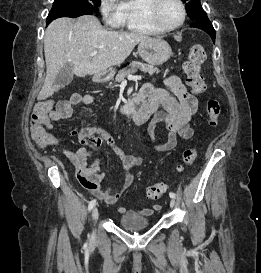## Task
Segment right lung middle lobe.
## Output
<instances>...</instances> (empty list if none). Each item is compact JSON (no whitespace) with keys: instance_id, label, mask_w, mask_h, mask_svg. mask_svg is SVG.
Instances as JSON below:
<instances>
[{"instance_id":"1","label":"right lung middle lobe","mask_w":261,"mask_h":273,"mask_svg":"<svg viewBox=\"0 0 261 273\" xmlns=\"http://www.w3.org/2000/svg\"><path fill=\"white\" fill-rule=\"evenodd\" d=\"M75 5L80 6L85 15H93V12L98 11L100 0H55L47 21L51 22L63 16L78 17L79 12L75 9Z\"/></svg>"}]
</instances>
